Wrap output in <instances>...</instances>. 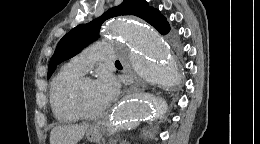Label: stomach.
<instances>
[{
  "instance_id": "stomach-1",
  "label": "stomach",
  "mask_w": 260,
  "mask_h": 144,
  "mask_svg": "<svg viewBox=\"0 0 260 144\" xmlns=\"http://www.w3.org/2000/svg\"><path fill=\"white\" fill-rule=\"evenodd\" d=\"M86 137L91 142H98L102 138V133L99 129L91 128L87 131Z\"/></svg>"
}]
</instances>
